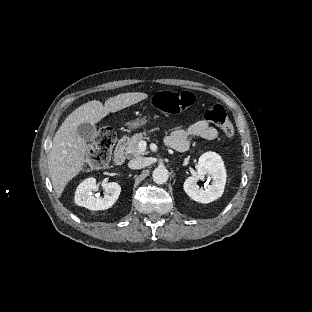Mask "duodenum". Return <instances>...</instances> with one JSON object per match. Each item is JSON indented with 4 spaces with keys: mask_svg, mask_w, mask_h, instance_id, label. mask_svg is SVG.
<instances>
[{
    "mask_svg": "<svg viewBox=\"0 0 312 312\" xmlns=\"http://www.w3.org/2000/svg\"><path fill=\"white\" fill-rule=\"evenodd\" d=\"M126 143L127 139L124 137L120 138L116 144L113 153V162L116 166H122L126 161V152H125Z\"/></svg>",
    "mask_w": 312,
    "mask_h": 312,
    "instance_id": "410a0bca",
    "label": "duodenum"
}]
</instances>
